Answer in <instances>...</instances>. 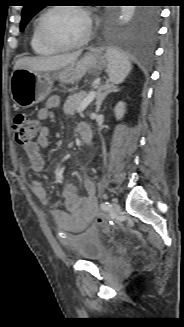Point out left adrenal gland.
Returning <instances> with one entry per match:
<instances>
[{"mask_svg": "<svg viewBox=\"0 0 184 327\" xmlns=\"http://www.w3.org/2000/svg\"><path fill=\"white\" fill-rule=\"evenodd\" d=\"M118 91L119 90L114 85L109 84V82H106V84L104 85H100L97 89V94H96V103H95L96 112H99L102 102L107 97V95Z\"/></svg>", "mask_w": 184, "mask_h": 327, "instance_id": "left-adrenal-gland-1", "label": "left adrenal gland"}]
</instances>
